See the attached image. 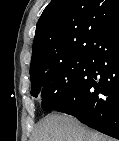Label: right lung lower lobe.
Here are the masks:
<instances>
[{
  "mask_svg": "<svg viewBox=\"0 0 119 141\" xmlns=\"http://www.w3.org/2000/svg\"><path fill=\"white\" fill-rule=\"evenodd\" d=\"M88 58L90 67L72 95L54 108L119 139V19L107 27Z\"/></svg>",
  "mask_w": 119,
  "mask_h": 141,
  "instance_id": "right-lung-lower-lobe-1",
  "label": "right lung lower lobe"
}]
</instances>
